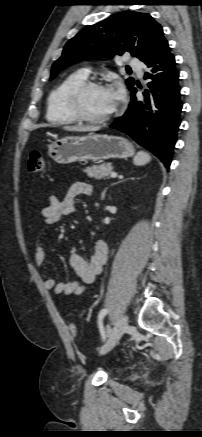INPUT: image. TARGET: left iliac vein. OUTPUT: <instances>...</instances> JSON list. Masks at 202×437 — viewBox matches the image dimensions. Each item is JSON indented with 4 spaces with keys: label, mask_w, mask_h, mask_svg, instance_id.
Returning <instances> with one entry per match:
<instances>
[{
    "label": "left iliac vein",
    "mask_w": 202,
    "mask_h": 437,
    "mask_svg": "<svg viewBox=\"0 0 202 437\" xmlns=\"http://www.w3.org/2000/svg\"><path fill=\"white\" fill-rule=\"evenodd\" d=\"M128 328V317L123 315L115 324L114 328L111 330L108 336V340L100 350V354H105L109 352L120 340L122 335Z\"/></svg>",
    "instance_id": "obj_1"
}]
</instances>
